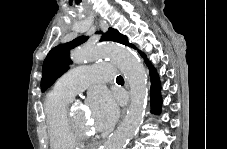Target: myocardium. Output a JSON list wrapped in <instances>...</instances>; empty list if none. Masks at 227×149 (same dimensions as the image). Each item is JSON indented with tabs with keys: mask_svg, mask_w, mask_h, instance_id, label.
I'll list each match as a JSON object with an SVG mask.
<instances>
[{
	"mask_svg": "<svg viewBox=\"0 0 227 149\" xmlns=\"http://www.w3.org/2000/svg\"><path fill=\"white\" fill-rule=\"evenodd\" d=\"M65 122L68 131L77 140H85L92 137V135L87 130H84L76 123V121L72 117V113L69 110H66Z\"/></svg>",
	"mask_w": 227,
	"mask_h": 149,
	"instance_id": "f54148a6",
	"label": "myocardium"
}]
</instances>
